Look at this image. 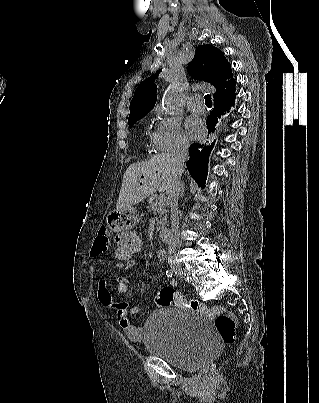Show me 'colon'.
<instances>
[{
	"label": "colon",
	"mask_w": 319,
	"mask_h": 403,
	"mask_svg": "<svg viewBox=\"0 0 319 403\" xmlns=\"http://www.w3.org/2000/svg\"><path fill=\"white\" fill-rule=\"evenodd\" d=\"M112 229V228H111ZM143 234H118L115 236V254L117 268H136L138 254H143ZM119 279L127 278L126 270L118 271ZM112 290L119 291L121 296L129 295V288L124 282H113ZM160 307H177L192 310L214 321V326L225 344H233L236 339V316L225 307H207L197 300H188L173 288H163L156 296Z\"/></svg>",
	"instance_id": "obj_1"
}]
</instances>
